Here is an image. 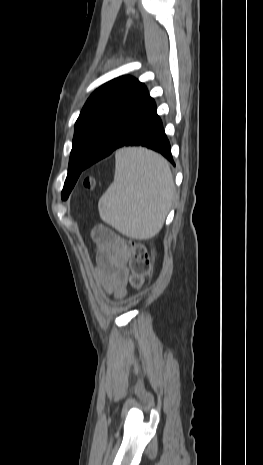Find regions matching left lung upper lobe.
Wrapping results in <instances>:
<instances>
[{
    "label": "left lung upper lobe",
    "instance_id": "1",
    "mask_svg": "<svg viewBox=\"0 0 263 465\" xmlns=\"http://www.w3.org/2000/svg\"><path fill=\"white\" fill-rule=\"evenodd\" d=\"M143 87L137 79L123 76L102 85L88 98L75 124L68 175L61 194L63 200L68 198L102 133Z\"/></svg>",
    "mask_w": 263,
    "mask_h": 465
}]
</instances>
